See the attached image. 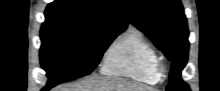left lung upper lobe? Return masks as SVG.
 <instances>
[{"label":"left lung upper lobe","mask_w":220,"mask_h":91,"mask_svg":"<svg viewBox=\"0 0 220 91\" xmlns=\"http://www.w3.org/2000/svg\"><path fill=\"white\" fill-rule=\"evenodd\" d=\"M130 22L172 61L168 91H190L181 78L188 59V27L180 0H119Z\"/></svg>","instance_id":"5c2ea615"}]
</instances>
